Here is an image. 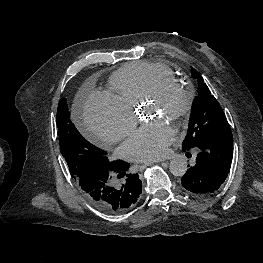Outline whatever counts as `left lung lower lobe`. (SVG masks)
Masks as SVG:
<instances>
[{
    "label": "left lung lower lobe",
    "mask_w": 263,
    "mask_h": 263,
    "mask_svg": "<svg viewBox=\"0 0 263 263\" xmlns=\"http://www.w3.org/2000/svg\"><path fill=\"white\" fill-rule=\"evenodd\" d=\"M196 164L181 179L183 187L196 195L215 192L225 181L233 158L231 130H218L199 145Z\"/></svg>",
    "instance_id": "0a47b994"
}]
</instances>
